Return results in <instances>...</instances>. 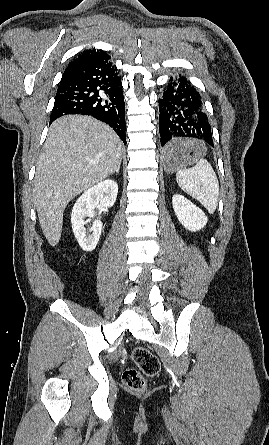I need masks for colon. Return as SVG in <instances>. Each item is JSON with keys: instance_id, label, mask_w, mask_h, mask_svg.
<instances>
[{"instance_id": "obj_1", "label": "colon", "mask_w": 269, "mask_h": 445, "mask_svg": "<svg viewBox=\"0 0 269 445\" xmlns=\"http://www.w3.org/2000/svg\"><path fill=\"white\" fill-rule=\"evenodd\" d=\"M131 357L137 368L126 369L122 380L128 388L142 392L147 386L145 377H153L159 373L160 361L150 350L142 346L133 348Z\"/></svg>"}]
</instances>
